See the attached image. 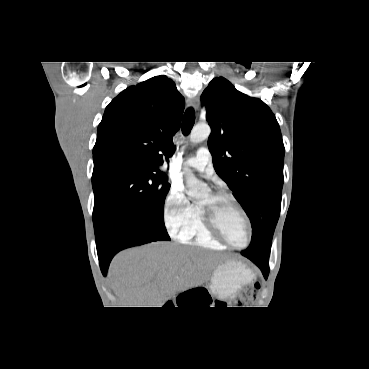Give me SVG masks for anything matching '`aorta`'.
<instances>
[{
  "instance_id": "762f6f07",
  "label": "aorta",
  "mask_w": 369,
  "mask_h": 369,
  "mask_svg": "<svg viewBox=\"0 0 369 369\" xmlns=\"http://www.w3.org/2000/svg\"><path fill=\"white\" fill-rule=\"evenodd\" d=\"M210 127L207 124H198L193 127L190 133V141L192 143H199L207 139L210 135ZM186 185H187V195L193 198H200L206 195L208 192V187L205 183L199 181L191 172L190 169L186 168L184 170Z\"/></svg>"
}]
</instances>
